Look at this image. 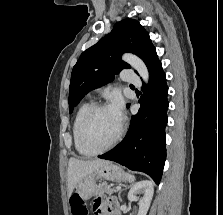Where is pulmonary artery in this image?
Here are the masks:
<instances>
[{
	"instance_id": "pulmonary-artery-1",
	"label": "pulmonary artery",
	"mask_w": 223,
	"mask_h": 215,
	"mask_svg": "<svg viewBox=\"0 0 223 215\" xmlns=\"http://www.w3.org/2000/svg\"><path fill=\"white\" fill-rule=\"evenodd\" d=\"M120 74H125V81L132 82L133 87H140L138 73H133V69H120Z\"/></svg>"
}]
</instances>
